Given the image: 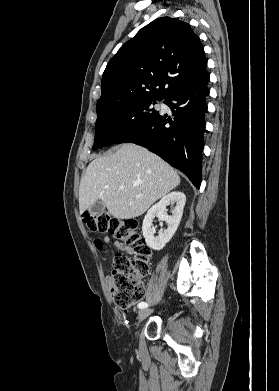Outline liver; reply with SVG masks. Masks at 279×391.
<instances>
[{"label":"liver","mask_w":279,"mask_h":391,"mask_svg":"<svg viewBox=\"0 0 279 391\" xmlns=\"http://www.w3.org/2000/svg\"><path fill=\"white\" fill-rule=\"evenodd\" d=\"M179 184L177 172L159 156L142 146L123 144L88 165L80 182L79 209L82 213L102 201L113 217L131 219Z\"/></svg>","instance_id":"obj_1"}]
</instances>
